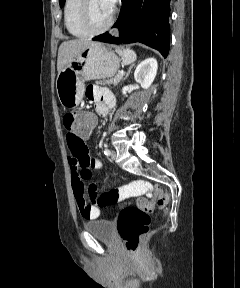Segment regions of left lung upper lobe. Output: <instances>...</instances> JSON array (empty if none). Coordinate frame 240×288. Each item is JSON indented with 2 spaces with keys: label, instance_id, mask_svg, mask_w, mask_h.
<instances>
[{
  "label": "left lung upper lobe",
  "instance_id": "left-lung-upper-lobe-1",
  "mask_svg": "<svg viewBox=\"0 0 240 288\" xmlns=\"http://www.w3.org/2000/svg\"><path fill=\"white\" fill-rule=\"evenodd\" d=\"M65 0H59L60 3V7H62L64 5Z\"/></svg>",
  "mask_w": 240,
  "mask_h": 288
}]
</instances>
